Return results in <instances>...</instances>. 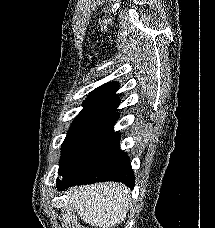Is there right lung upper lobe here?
Wrapping results in <instances>:
<instances>
[{
	"label": "right lung upper lobe",
	"mask_w": 215,
	"mask_h": 228,
	"mask_svg": "<svg viewBox=\"0 0 215 228\" xmlns=\"http://www.w3.org/2000/svg\"><path fill=\"white\" fill-rule=\"evenodd\" d=\"M118 88L117 82H109L92 91L70 128L94 122L115 123L119 118L116 111L120 99L115 96Z\"/></svg>",
	"instance_id": "1"
}]
</instances>
